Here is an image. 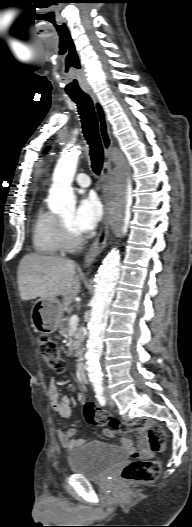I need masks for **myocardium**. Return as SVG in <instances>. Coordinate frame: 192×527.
<instances>
[{"mask_svg": "<svg viewBox=\"0 0 192 527\" xmlns=\"http://www.w3.org/2000/svg\"><path fill=\"white\" fill-rule=\"evenodd\" d=\"M59 231L64 248L72 250L82 245L84 241L83 237L80 235H74L61 218H59Z\"/></svg>", "mask_w": 192, "mask_h": 527, "instance_id": "1", "label": "myocardium"}]
</instances>
